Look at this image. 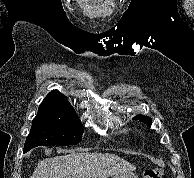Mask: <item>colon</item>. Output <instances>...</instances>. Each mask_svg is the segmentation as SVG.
I'll use <instances>...</instances> for the list:
<instances>
[{
	"label": "colon",
	"mask_w": 194,
	"mask_h": 178,
	"mask_svg": "<svg viewBox=\"0 0 194 178\" xmlns=\"http://www.w3.org/2000/svg\"><path fill=\"white\" fill-rule=\"evenodd\" d=\"M165 170L160 167L147 168L144 172V178H164Z\"/></svg>",
	"instance_id": "colon-1"
}]
</instances>
